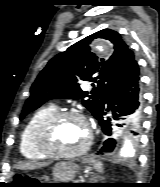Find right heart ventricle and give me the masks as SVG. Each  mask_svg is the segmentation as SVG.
<instances>
[{
    "mask_svg": "<svg viewBox=\"0 0 160 187\" xmlns=\"http://www.w3.org/2000/svg\"><path fill=\"white\" fill-rule=\"evenodd\" d=\"M56 111V106L49 104L37 109L29 118L22 131L20 140V151L25 158L43 160L48 157L38 145V132L43 121Z\"/></svg>",
    "mask_w": 160,
    "mask_h": 187,
    "instance_id": "right-heart-ventricle-1",
    "label": "right heart ventricle"
}]
</instances>
